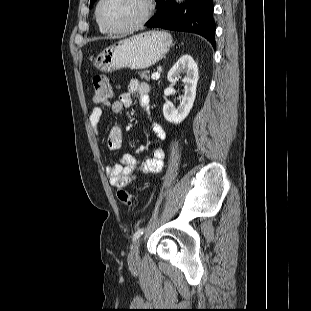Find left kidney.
<instances>
[{
	"instance_id": "5707ae66",
	"label": "left kidney",
	"mask_w": 311,
	"mask_h": 311,
	"mask_svg": "<svg viewBox=\"0 0 311 311\" xmlns=\"http://www.w3.org/2000/svg\"><path fill=\"white\" fill-rule=\"evenodd\" d=\"M182 73H185L186 77L183 79L185 93L180 105L177 109L168 103L163 105L164 118L168 122L175 124L181 123L188 116L196 97V87L199 79L198 67L194 59L188 54L181 56L170 69L168 72L169 82L176 83L179 81Z\"/></svg>"
}]
</instances>
